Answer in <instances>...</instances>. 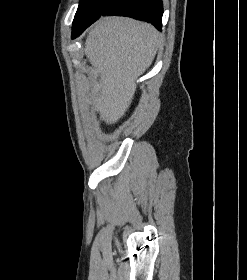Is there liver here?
<instances>
[{
    "label": "liver",
    "mask_w": 247,
    "mask_h": 280,
    "mask_svg": "<svg viewBox=\"0 0 247 280\" xmlns=\"http://www.w3.org/2000/svg\"><path fill=\"white\" fill-rule=\"evenodd\" d=\"M161 42L160 33L152 25L131 18L105 17L91 27L85 54L100 75L93 87L92 102L107 124L125 115L136 91V80L152 64Z\"/></svg>",
    "instance_id": "obj_1"
}]
</instances>
